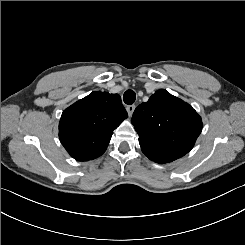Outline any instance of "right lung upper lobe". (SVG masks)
Masks as SVG:
<instances>
[{
	"instance_id": "cb5924a9",
	"label": "right lung upper lobe",
	"mask_w": 245,
	"mask_h": 245,
	"mask_svg": "<svg viewBox=\"0 0 245 245\" xmlns=\"http://www.w3.org/2000/svg\"><path fill=\"white\" fill-rule=\"evenodd\" d=\"M128 114L118 94L92 92L62 113L59 138L78 161L101 156L116 129Z\"/></svg>"
}]
</instances>
